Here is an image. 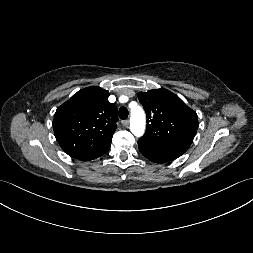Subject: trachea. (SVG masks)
<instances>
[{"mask_svg": "<svg viewBox=\"0 0 253 253\" xmlns=\"http://www.w3.org/2000/svg\"><path fill=\"white\" fill-rule=\"evenodd\" d=\"M119 117L125 120L128 117V110L125 107H121L118 112Z\"/></svg>", "mask_w": 253, "mask_h": 253, "instance_id": "1", "label": "trachea"}]
</instances>
